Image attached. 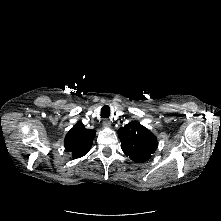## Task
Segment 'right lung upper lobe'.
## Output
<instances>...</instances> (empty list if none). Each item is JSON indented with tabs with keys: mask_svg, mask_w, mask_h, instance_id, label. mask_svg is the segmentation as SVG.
<instances>
[{
	"mask_svg": "<svg viewBox=\"0 0 221 221\" xmlns=\"http://www.w3.org/2000/svg\"><path fill=\"white\" fill-rule=\"evenodd\" d=\"M95 132L94 129H86L81 122H78L66 134L64 145L66 150L71 152L72 158H80L89 152Z\"/></svg>",
	"mask_w": 221,
	"mask_h": 221,
	"instance_id": "right-lung-upper-lobe-1",
	"label": "right lung upper lobe"
}]
</instances>
